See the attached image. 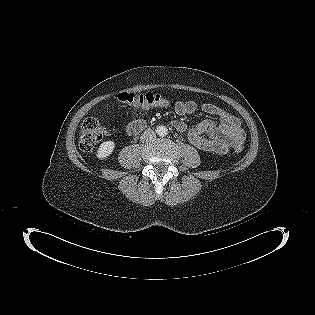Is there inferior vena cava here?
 Listing matches in <instances>:
<instances>
[{"label":"inferior vena cava","mask_w":315,"mask_h":315,"mask_svg":"<svg viewBox=\"0 0 315 315\" xmlns=\"http://www.w3.org/2000/svg\"><path fill=\"white\" fill-rule=\"evenodd\" d=\"M142 142H148L156 139V133L154 131H145L141 137Z\"/></svg>","instance_id":"obj_1"}]
</instances>
